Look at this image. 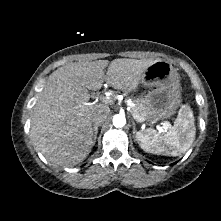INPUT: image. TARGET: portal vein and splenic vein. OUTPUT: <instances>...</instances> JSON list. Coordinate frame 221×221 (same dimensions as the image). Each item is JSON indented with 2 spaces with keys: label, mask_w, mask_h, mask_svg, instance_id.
I'll return each mask as SVG.
<instances>
[{
  "label": "portal vein and splenic vein",
  "mask_w": 221,
  "mask_h": 221,
  "mask_svg": "<svg viewBox=\"0 0 221 221\" xmlns=\"http://www.w3.org/2000/svg\"><path fill=\"white\" fill-rule=\"evenodd\" d=\"M133 118L135 119V121L137 122H143L142 119L138 116V115H135V114H132Z\"/></svg>",
  "instance_id": "18ae733b"
}]
</instances>
